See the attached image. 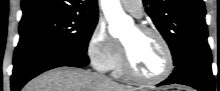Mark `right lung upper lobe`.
Returning a JSON list of instances; mask_svg holds the SVG:
<instances>
[{
    "label": "right lung upper lobe",
    "instance_id": "right-lung-upper-lobe-1",
    "mask_svg": "<svg viewBox=\"0 0 220 91\" xmlns=\"http://www.w3.org/2000/svg\"><path fill=\"white\" fill-rule=\"evenodd\" d=\"M21 7L23 16L20 24L58 14L98 16L96 0H22Z\"/></svg>",
    "mask_w": 220,
    "mask_h": 91
}]
</instances>
